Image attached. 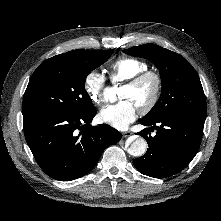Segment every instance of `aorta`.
I'll return each mask as SVG.
<instances>
[{
	"instance_id": "aorta-1",
	"label": "aorta",
	"mask_w": 221,
	"mask_h": 221,
	"mask_svg": "<svg viewBox=\"0 0 221 221\" xmlns=\"http://www.w3.org/2000/svg\"><path fill=\"white\" fill-rule=\"evenodd\" d=\"M146 150H147L146 140L138 136L132 141V143L127 149V152L134 157H140L145 154Z\"/></svg>"
}]
</instances>
